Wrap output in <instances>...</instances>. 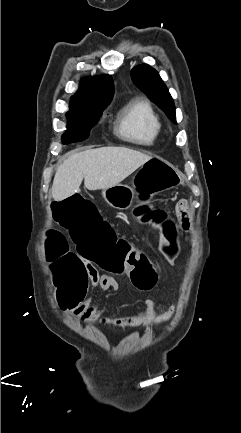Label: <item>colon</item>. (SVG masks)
I'll return each instance as SVG.
<instances>
[{
	"label": "colon",
	"mask_w": 241,
	"mask_h": 433,
	"mask_svg": "<svg viewBox=\"0 0 241 433\" xmlns=\"http://www.w3.org/2000/svg\"><path fill=\"white\" fill-rule=\"evenodd\" d=\"M135 175L141 181L135 192L140 195L165 194L180 186L186 178L181 168H173L170 161L162 157H147ZM146 201L144 196L139 198ZM52 221H59L61 229H69L68 237L75 243L79 257L91 261L104 269L118 273L129 272L135 286L146 290L153 287L156 272L145 254L128 244L127 238H117L119 233L111 220H104L100 205H91L86 192H74L65 202H50ZM140 216L151 223L152 233L159 241L166 262L173 263L184 231L177 226L179 219L164 207H140ZM111 234L114 238H111ZM45 255L49 263L44 264L45 272H54V286L63 312H72L74 305H84L90 291L89 270L73 252L69 251L62 233L52 230L48 233Z\"/></svg>",
	"instance_id": "1"
}]
</instances>
